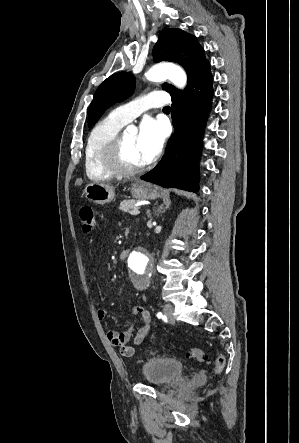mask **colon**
Instances as JSON below:
<instances>
[{"label": "colon", "mask_w": 299, "mask_h": 443, "mask_svg": "<svg viewBox=\"0 0 299 443\" xmlns=\"http://www.w3.org/2000/svg\"><path fill=\"white\" fill-rule=\"evenodd\" d=\"M79 220L81 224V229L84 233L88 234L94 230L95 217L93 210L90 207L84 206L79 210ZM188 356L191 359H194L195 361L200 363L205 362L207 360V357L204 354V352L198 348L191 349L190 352L188 353ZM224 365H225L224 357L221 355L218 356L215 364V372L217 374L220 373L223 370Z\"/></svg>", "instance_id": "colon-1"}]
</instances>
